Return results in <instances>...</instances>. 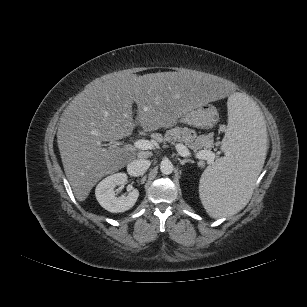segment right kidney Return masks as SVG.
<instances>
[{"mask_svg": "<svg viewBox=\"0 0 307 307\" xmlns=\"http://www.w3.org/2000/svg\"><path fill=\"white\" fill-rule=\"evenodd\" d=\"M125 173H116L104 178L95 189V196L99 204L109 212H125L132 208L136 203L139 191L133 189L128 195L116 196L115 187L124 185L127 182Z\"/></svg>", "mask_w": 307, "mask_h": 307, "instance_id": "1", "label": "right kidney"}]
</instances>
